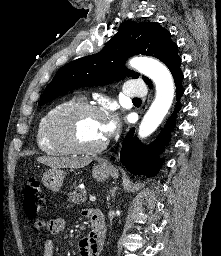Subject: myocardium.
Listing matches in <instances>:
<instances>
[{"instance_id":"obj_1","label":"myocardium","mask_w":221,"mask_h":256,"mask_svg":"<svg viewBox=\"0 0 221 256\" xmlns=\"http://www.w3.org/2000/svg\"><path fill=\"white\" fill-rule=\"evenodd\" d=\"M82 113H93L103 118V111L96 105L86 102H76L59 110L52 118L49 135L50 138L62 145L68 153L80 155H95L103 151L108 143L105 138L101 143L93 147H84L74 140L72 135V123L74 118Z\"/></svg>"}]
</instances>
